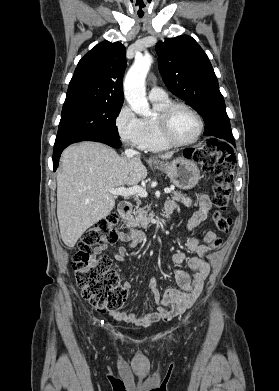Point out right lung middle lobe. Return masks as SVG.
I'll list each match as a JSON object with an SVG mask.
<instances>
[{
  "label": "right lung middle lobe",
  "instance_id": "dd1d6c3e",
  "mask_svg": "<svg viewBox=\"0 0 279 391\" xmlns=\"http://www.w3.org/2000/svg\"><path fill=\"white\" fill-rule=\"evenodd\" d=\"M122 104H88L62 110L55 145L102 132L118 134L116 117Z\"/></svg>",
  "mask_w": 279,
  "mask_h": 391
}]
</instances>
